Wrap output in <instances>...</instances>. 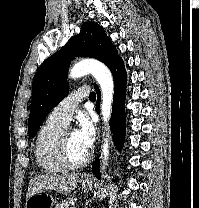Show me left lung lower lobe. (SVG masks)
<instances>
[{"instance_id": "obj_1", "label": "left lung lower lobe", "mask_w": 199, "mask_h": 208, "mask_svg": "<svg viewBox=\"0 0 199 208\" xmlns=\"http://www.w3.org/2000/svg\"><path fill=\"white\" fill-rule=\"evenodd\" d=\"M111 73L115 82L114 96H113V111L110 119V126L114 133V141L119 149L123 146V141L125 137V94H126V80L127 74L124 68L123 60L118 61L111 69ZM97 91L98 101L96 104V110L100 112V91L97 86H95ZM93 173L100 177L99 172V160L93 165Z\"/></svg>"}]
</instances>
